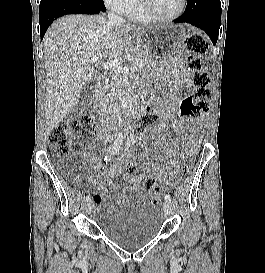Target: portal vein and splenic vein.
Wrapping results in <instances>:
<instances>
[{
  "mask_svg": "<svg viewBox=\"0 0 265 273\" xmlns=\"http://www.w3.org/2000/svg\"><path fill=\"white\" fill-rule=\"evenodd\" d=\"M101 59L100 55L92 57L90 62L93 64H96L97 62H99ZM102 68L107 70V71H114L115 73H121L123 66L122 63L118 60H113V61H107L102 63ZM136 67L135 66H131L130 71H135Z\"/></svg>",
  "mask_w": 265,
  "mask_h": 273,
  "instance_id": "obj_1",
  "label": "portal vein and splenic vein"
}]
</instances>
